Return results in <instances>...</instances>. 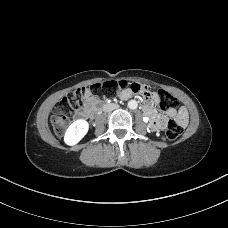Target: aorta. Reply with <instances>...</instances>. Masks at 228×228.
<instances>
[{
	"label": "aorta",
	"mask_w": 228,
	"mask_h": 228,
	"mask_svg": "<svg viewBox=\"0 0 228 228\" xmlns=\"http://www.w3.org/2000/svg\"><path fill=\"white\" fill-rule=\"evenodd\" d=\"M128 107L129 109L134 110L138 107V102L136 100H130L128 102Z\"/></svg>",
	"instance_id": "762f6f07"
}]
</instances>
